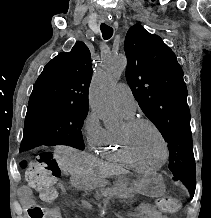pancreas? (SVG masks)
<instances>
[{"label": "pancreas", "mask_w": 211, "mask_h": 218, "mask_svg": "<svg viewBox=\"0 0 211 218\" xmlns=\"http://www.w3.org/2000/svg\"><path fill=\"white\" fill-rule=\"evenodd\" d=\"M106 190H99V195H119L121 198H134L135 192L133 188H126V186H118L117 190H111V186H106Z\"/></svg>", "instance_id": "obj_1"}]
</instances>
